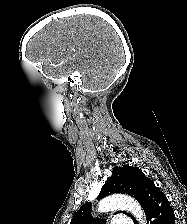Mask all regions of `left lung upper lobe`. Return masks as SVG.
I'll use <instances>...</instances> for the list:
<instances>
[{
    "label": "left lung upper lobe",
    "instance_id": "5c2ea615",
    "mask_svg": "<svg viewBox=\"0 0 187 224\" xmlns=\"http://www.w3.org/2000/svg\"><path fill=\"white\" fill-rule=\"evenodd\" d=\"M158 190L154 182L146 177L137 167L125 165L114 167L112 176L109 177L99 194V199L112 193H123L134 197L146 212L147 207ZM91 203H86L74 214L70 224H103L102 221H95L91 216ZM129 217L133 216L123 212Z\"/></svg>",
    "mask_w": 187,
    "mask_h": 224
}]
</instances>
